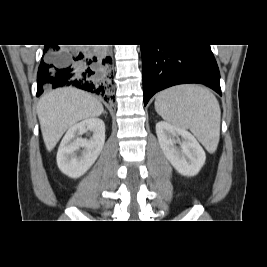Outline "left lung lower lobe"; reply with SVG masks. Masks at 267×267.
I'll return each mask as SVG.
<instances>
[{
    "label": "left lung lower lobe",
    "instance_id": "1",
    "mask_svg": "<svg viewBox=\"0 0 267 267\" xmlns=\"http://www.w3.org/2000/svg\"><path fill=\"white\" fill-rule=\"evenodd\" d=\"M144 105L158 91L200 83L221 94L220 74L210 45H141Z\"/></svg>",
    "mask_w": 267,
    "mask_h": 267
}]
</instances>
